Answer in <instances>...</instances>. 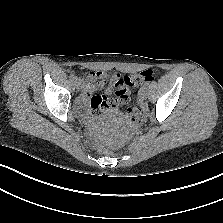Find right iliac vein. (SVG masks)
<instances>
[{
  "label": "right iliac vein",
  "mask_w": 223,
  "mask_h": 223,
  "mask_svg": "<svg viewBox=\"0 0 223 223\" xmlns=\"http://www.w3.org/2000/svg\"><path fill=\"white\" fill-rule=\"evenodd\" d=\"M76 87H77L78 90H80L82 88V83H81L80 80L76 81Z\"/></svg>",
  "instance_id": "63e3f726"
}]
</instances>
